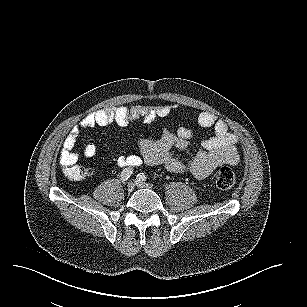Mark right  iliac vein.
Returning a JSON list of instances; mask_svg holds the SVG:
<instances>
[{"label": "right iliac vein", "mask_w": 307, "mask_h": 307, "mask_svg": "<svg viewBox=\"0 0 307 307\" xmlns=\"http://www.w3.org/2000/svg\"><path fill=\"white\" fill-rule=\"evenodd\" d=\"M134 188H135V183H134V182L128 183V185H127V190H128L129 192H132V191L134 190Z\"/></svg>", "instance_id": "63e3f726"}]
</instances>
